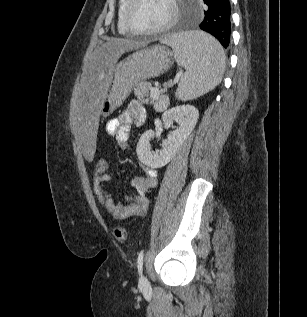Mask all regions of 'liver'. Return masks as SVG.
Here are the masks:
<instances>
[{"mask_svg":"<svg viewBox=\"0 0 307 317\" xmlns=\"http://www.w3.org/2000/svg\"><path fill=\"white\" fill-rule=\"evenodd\" d=\"M145 45L132 39L111 38L86 63L70 111V126L79 141L75 146L81 149V159H94L98 149L96 132L101 102L117 60L123 53Z\"/></svg>","mask_w":307,"mask_h":317,"instance_id":"6515ba94","label":"liver"}]
</instances>
